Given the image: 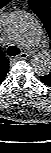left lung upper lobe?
<instances>
[{
	"label": "left lung upper lobe",
	"mask_w": 51,
	"mask_h": 153,
	"mask_svg": "<svg viewBox=\"0 0 51 153\" xmlns=\"http://www.w3.org/2000/svg\"><path fill=\"white\" fill-rule=\"evenodd\" d=\"M28 4L32 11L41 19L51 39V0H29ZM45 77L51 81V72Z\"/></svg>",
	"instance_id": "1"
}]
</instances>
